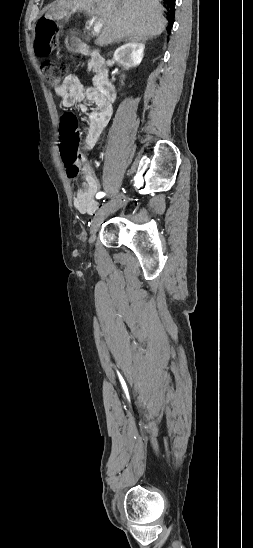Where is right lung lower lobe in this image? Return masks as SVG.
I'll use <instances>...</instances> for the list:
<instances>
[{
    "instance_id": "right-lung-lower-lobe-1",
    "label": "right lung lower lobe",
    "mask_w": 253,
    "mask_h": 548,
    "mask_svg": "<svg viewBox=\"0 0 253 548\" xmlns=\"http://www.w3.org/2000/svg\"><path fill=\"white\" fill-rule=\"evenodd\" d=\"M164 2L168 5V7L171 9L172 13L170 16L171 25L174 22V6H175V0H164Z\"/></svg>"
}]
</instances>
